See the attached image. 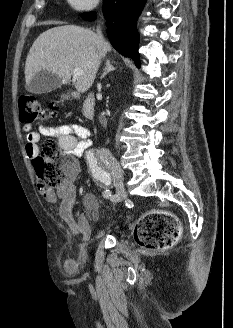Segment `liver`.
Wrapping results in <instances>:
<instances>
[{
    "mask_svg": "<svg viewBox=\"0 0 233 328\" xmlns=\"http://www.w3.org/2000/svg\"><path fill=\"white\" fill-rule=\"evenodd\" d=\"M111 46L90 29L75 25L58 26L43 32L34 41L25 63V79L29 84L34 74L48 70L64 81H70L84 93L93 84L96 73ZM80 67L83 74L74 75Z\"/></svg>",
    "mask_w": 233,
    "mask_h": 328,
    "instance_id": "1",
    "label": "liver"
}]
</instances>
